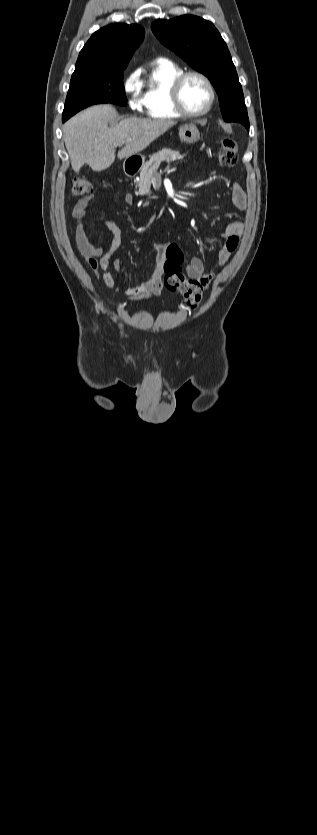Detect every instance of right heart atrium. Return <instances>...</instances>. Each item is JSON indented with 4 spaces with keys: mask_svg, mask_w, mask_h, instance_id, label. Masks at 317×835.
Segmentation results:
<instances>
[{
    "mask_svg": "<svg viewBox=\"0 0 317 835\" xmlns=\"http://www.w3.org/2000/svg\"><path fill=\"white\" fill-rule=\"evenodd\" d=\"M139 81L136 72L130 73L123 82V90L128 95V104L133 111L143 109L142 98L138 96Z\"/></svg>",
    "mask_w": 317,
    "mask_h": 835,
    "instance_id": "d8ad5b80",
    "label": "right heart atrium"
}]
</instances>
